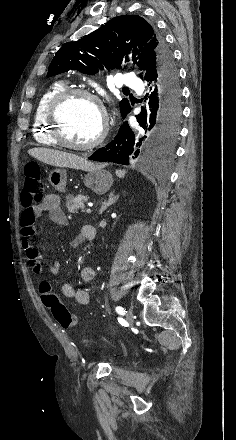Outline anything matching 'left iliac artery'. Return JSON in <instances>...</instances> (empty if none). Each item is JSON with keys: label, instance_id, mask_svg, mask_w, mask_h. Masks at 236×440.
<instances>
[{"label": "left iliac artery", "instance_id": "44dca946", "mask_svg": "<svg viewBox=\"0 0 236 440\" xmlns=\"http://www.w3.org/2000/svg\"><path fill=\"white\" fill-rule=\"evenodd\" d=\"M116 312L120 315H125V313H126L125 309L121 306L116 307Z\"/></svg>", "mask_w": 236, "mask_h": 440}]
</instances>
